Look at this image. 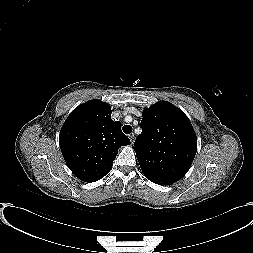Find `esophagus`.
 I'll return each instance as SVG.
<instances>
[{"label": "esophagus", "mask_w": 253, "mask_h": 253, "mask_svg": "<svg viewBox=\"0 0 253 253\" xmlns=\"http://www.w3.org/2000/svg\"><path fill=\"white\" fill-rule=\"evenodd\" d=\"M129 139H130L131 144H133L134 143V133H131L129 135Z\"/></svg>", "instance_id": "1"}]
</instances>
